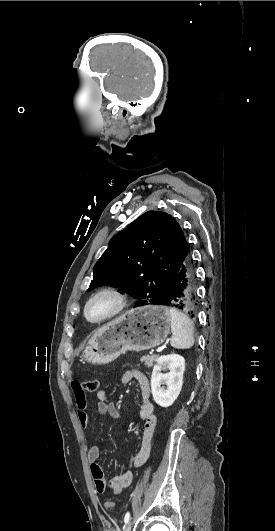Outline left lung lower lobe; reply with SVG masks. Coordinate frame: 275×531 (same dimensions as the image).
<instances>
[{"label":"left lung lower lobe","instance_id":"0a47b994","mask_svg":"<svg viewBox=\"0 0 275 531\" xmlns=\"http://www.w3.org/2000/svg\"><path fill=\"white\" fill-rule=\"evenodd\" d=\"M159 305L174 307L190 314L192 317L195 316L198 296L195 270L189 251L177 273L168 296Z\"/></svg>","mask_w":275,"mask_h":531}]
</instances>
